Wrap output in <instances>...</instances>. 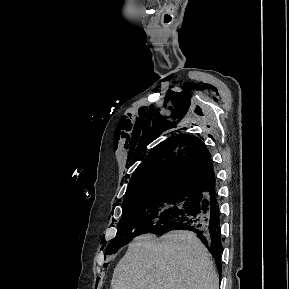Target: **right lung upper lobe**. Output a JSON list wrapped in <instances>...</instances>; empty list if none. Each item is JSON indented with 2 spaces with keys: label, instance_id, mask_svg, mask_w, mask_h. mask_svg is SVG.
Here are the masks:
<instances>
[{
  "label": "right lung upper lobe",
  "instance_id": "1",
  "mask_svg": "<svg viewBox=\"0 0 289 289\" xmlns=\"http://www.w3.org/2000/svg\"><path fill=\"white\" fill-rule=\"evenodd\" d=\"M214 184L210 152L199 138L181 135L146 156L130 179L124 201L168 192L198 195Z\"/></svg>",
  "mask_w": 289,
  "mask_h": 289
}]
</instances>
